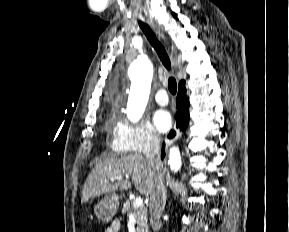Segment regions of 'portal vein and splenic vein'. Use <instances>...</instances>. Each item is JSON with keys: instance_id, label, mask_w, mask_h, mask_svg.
Listing matches in <instances>:
<instances>
[{"instance_id": "18ae733b", "label": "portal vein and splenic vein", "mask_w": 289, "mask_h": 232, "mask_svg": "<svg viewBox=\"0 0 289 232\" xmlns=\"http://www.w3.org/2000/svg\"><path fill=\"white\" fill-rule=\"evenodd\" d=\"M123 179V176H114V177H111L110 178V181L111 182H114V181H118V180H122ZM143 205V199L139 196V197H136L135 200H134V203H133V206L135 208H138L140 206Z\"/></svg>"}]
</instances>
